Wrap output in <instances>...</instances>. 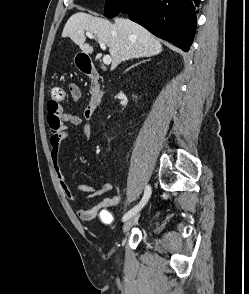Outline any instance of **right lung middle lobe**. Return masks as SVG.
<instances>
[{"mask_svg":"<svg viewBox=\"0 0 249 294\" xmlns=\"http://www.w3.org/2000/svg\"><path fill=\"white\" fill-rule=\"evenodd\" d=\"M129 0H106L104 15L108 18L115 17Z\"/></svg>","mask_w":249,"mask_h":294,"instance_id":"right-lung-middle-lobe-1","label":"right lung middle lobe"}]
</instances>
